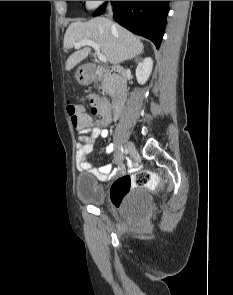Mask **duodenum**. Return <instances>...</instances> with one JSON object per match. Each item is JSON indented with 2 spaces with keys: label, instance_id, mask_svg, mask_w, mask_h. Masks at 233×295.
Returning a JSON list of instances; mask_svg holds the SVG:
<instances>
[{
  "label": "duodenum",
  "instance_id": "410a0bca",
  "mask_svg": "<svg viewBox=\"0 0 233 295\" xmlns=\"http://www.w3.org/2000/svg\"><path fill=\"white\" fill-rule=\"evenodd\" d=\"M97 77H105L111 80V92L113 99V112L118 115L124 106L127 97L125 86L126 77L123 70L120 68L99 69L95 72Z\"/></svg>",
  "mask_w": 233,
  "mask_h": 295
}]
</instances>
